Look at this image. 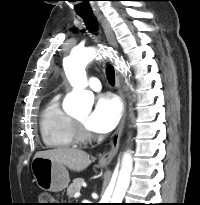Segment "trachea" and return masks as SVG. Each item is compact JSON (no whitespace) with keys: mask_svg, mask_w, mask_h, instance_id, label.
Here are the masks:
<instances>
[{"mask_svg":"<svg viewBox=\"0 0 200 205\" xmlns=\"http://www.w3.org/2000/svg\"><path fill=\"white\" fill-rule=\"evenodd\" d=\"M83 20L85 25L87 26V29L91 32H94L98 27V22L96 17L93 15V13H84V14H78ZM107 80L110 84L114 85L115 83V72L112 67H108L106 70Z\"/></svg>","mask_w":200,"mask_h":205,"instance_id":"trachea-1","label":"trachea"}]
</instances>
